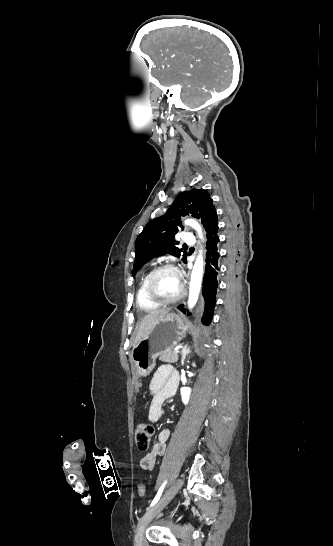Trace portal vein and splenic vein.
Segmentation results:
<instances>
[{"label":"portal vein and splenic vein","mask_w":333,"mask_h":546,"mask_svg":"<svg viewBox=\"0 0 333 546\" xmlns=\"http://www.w3.org/2000/svg\"><path fill=\"white\" fill-rule=\"evenodd\" d=\"M174 352H175V353H179V349L175 350Z\"/></svg>","instance_id":"18ae733b"}]
</instances>
